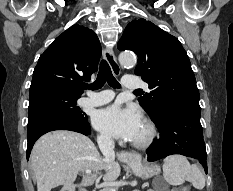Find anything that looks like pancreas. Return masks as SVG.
<instances>
[{
    "mask_svg": "<svg viewBox=\"0 0 233 191\" xmlns=\"http://www.w3.org/2000/svg\"><path fill=\"white\" fill-rule=\"evenodd\" d=\"M111 189H115V191H117L116 189V187H105V188H103L102 190H100V191H110Z\"/></svg>",
    "mask_w": 233,
    "mask_h": 191,
    "instance_id": "pancreas-1",
    "label": "pancreas"
}]
</instances>
